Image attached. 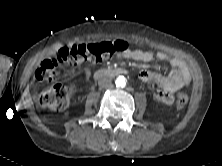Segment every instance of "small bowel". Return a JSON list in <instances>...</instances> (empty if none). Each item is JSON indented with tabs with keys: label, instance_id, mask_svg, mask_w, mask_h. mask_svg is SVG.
<instances>
[{
	"label": "small bowel",
	"instance_id": "c3829d8e",
	"mask_svg": "<svg viewBox=\"0 0 222 166\" xmlns=\"http://www.w3.org/2000/svg\"><path fill=\"white\" fill-rule=\"evenodd\" d=\"M117 57L125 59H133L139 62H150L156 57L160 61H167L170 63L172 69L168 76H162L151 71H142L139 74L141 80L146 82H154L161 87V90L155 93V99L164 104H172L174 102V93L181 88L189 85L191 76L189 69L184 61L179 58L171 57L165 52H157L154 54L149 50H130L127 49ZM85 76H90V71L85 70Z\"/></svg>",
	"mask_w": 222,
	"mask_h": 166
}]
</instances>
